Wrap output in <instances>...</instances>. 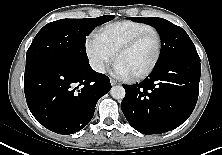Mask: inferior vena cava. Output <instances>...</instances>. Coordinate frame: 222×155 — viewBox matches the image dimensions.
<instances>
[{"mask_svg":"<svg viewBox=\"0 0 222 155\" xmlns=\"http://www.w3.org/2000/svg\"><path fill=\"white\" fill-rule=\"evenodd\" d=\"M91 66L95 71L100 72V73H105V66H104L103 62L93 61L91 63Z\"/></svg>","mask_w":222,"mask_h":155,"instance_id":"602c4592","label":"inferior vena cava"}]
</instances>
